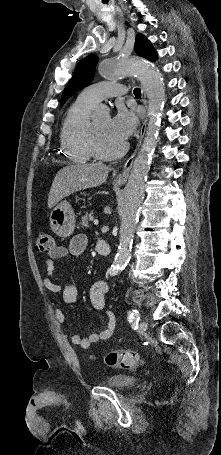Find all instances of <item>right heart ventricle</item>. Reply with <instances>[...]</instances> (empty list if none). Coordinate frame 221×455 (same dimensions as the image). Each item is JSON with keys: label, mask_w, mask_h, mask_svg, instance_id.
I'll list each match as a JSON object with an SVG mask.
<instances>
[{"label": "right heart ventricle", "mask_w": 221, "mask_h": 455, "mask_svg": "<svg viewBox=\"0 0 221 455\" xmlns=\"http://www.w3.org/2000/svg\"><path fill=\"white\" fill-rule=\"evenodd\" d=\"M93 105L83 101L80 96L68 109L60 131V146L63 154L73 163H85L92 157L87 132L90 124L89 114Z\"/></svg>", "instance_id": "e07e8e85"}]
</instances>
